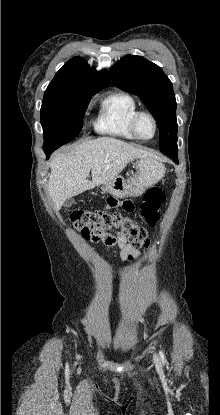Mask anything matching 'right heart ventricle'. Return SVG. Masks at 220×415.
<instances>
[{"mask_svg":"<svg viewBox=\"0 0 220 415\" xmlns=\"http://www.w3.org/2000/svg\"><path fill=\"white\" fill-rule=\"evenodd\" d=\"M137 111V103L129 94H111L102 101L95 129L100 133L135 140L137 138L131 131L130 122Z\"/></svg>","mask_w":220,"mask_h":415,"instance_id":"obj_1","label":"right heart ventricle"}]
</instances>
